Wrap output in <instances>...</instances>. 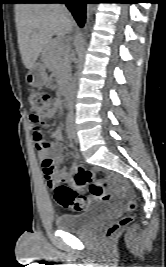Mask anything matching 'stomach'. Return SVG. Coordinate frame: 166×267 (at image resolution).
<instances>
[{"label":"stomach","instance_id":"stomach-1","mask_svg":"<svg viewBox=\"0 0 166 267\" xmlns=\"http://www.w3.org/2000/svg\"><path fill=\"white\" fill-rule=\"evenodd\" d=\"M25 80L31 87H42L48 81L46 66L43 63H35L25 76Z\"/></svg>","mask_w":166,"mask_h":267}]
</instances>
